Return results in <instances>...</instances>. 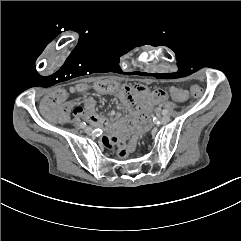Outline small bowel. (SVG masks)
<instances>
[{
  "label": "small bowel",
  "instance_id": "obj_1",
  "mask_svg": "<svg viewBox=\"0 0 241 241\" xmlns=\"http://www.w3.org/2000/svg\"><path fill=\"white\" fill-rule=\"evenodd\" d=\"M118 86L119 91L116 95L121 99L123 105L130 113V116L124 120H120L112 124L104 116L94 113L93 109L95 106V101L91 97H86L83 100L84 108L79 107L77 103H73L71 106L74 108V114L81 121H88L94 127L103 129L105 131V134L101 138L103 145L110 150L116 148L118 157L121 160H125L129 154L134 152L139 140L148 133L150 129V122L140 123L136 120L130 110V108H135L139 105V96L145 93L146 87L143 84H136L133 88H129L128 86H120L119 84ZM85 90H87L86 86H79L76 88V91L78 92H83ZM64 92L65 91L62 89L61 91L48 96L43 101L44 107L42 108V112L47 119H51L55 114L53 110L51 112L49 111L51 109L50 103L59 99L61 94ZM148 100L152 104H157L158 102L165 103L168 100V95L160 89H154L148 95ZM72 102L73 101L70 99L67 103L70 105ZM68 104L64 107L66 110L70 107ZM77 110L79 111L76 113ZM65 113L66 112L64 110L56 113L58 115L56 118L58 123H63L64 121H68L70 119V116ZM136 114L139 118L146 119L150 116L151 109L148 105L141 104L137 107Z\"/></svg>",
  "mask_w": 241,
  "mask_h": 241
}]
</instances>
